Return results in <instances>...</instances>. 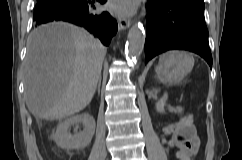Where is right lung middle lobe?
<instances>
[{
	"instance_id": "dd1d6c3e",
	"label": "right lung middle lobe",
	"mask_w": 242,
	"mask_h": 160,
	"mask_svg": "<svg viewBox=\"0 0 242 160\" xmlns=\"http://www.w3.org/2000/svg\"><path fill=\"white\" fill-rule=\"evenodd\" d=\"M43 1H45V0H38V2H43Z\"/></svg>"
}]
</instances>
